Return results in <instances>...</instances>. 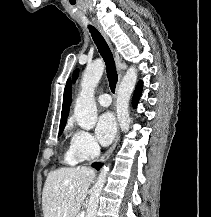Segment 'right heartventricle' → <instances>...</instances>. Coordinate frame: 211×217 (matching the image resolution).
Returning a JSON list of instances; mask_svg holds the SVG:
<instances>
[{"mask_svg": "<svg viewBox=\"0 0 211 217\" xmlns=\"http://www.w3.org/2000/svg\"><path fill=\"white\" fill-rule=\"evenodd\" d=\"M64 158H65V161L69 164H75L81 161V159L73 152L71 147L66 151Z\"/></svg>", "mask_w": 211, "mask_h": 217, "instance_id": "e07e8e85", "label": "right heart ventricle"}]
</instances>
